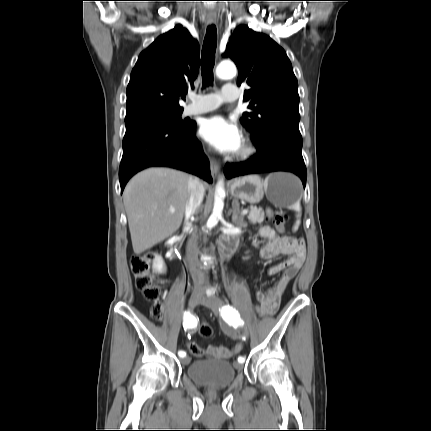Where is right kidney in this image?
I'll return each instance as SVG.
<instances>
[{
  "label": "right kidney",
  "instance_id": "right-kidney-1",
  "mask_svg": "<svg viewBox=\"0 0 431 431\" xmlns=\"http://www.w3.org/2000/svg\"><path fill=\"white\" fill-rule=\"evenodd\" d=\"M154 268L158 272L164 271V262H163L161 257H156L155 263H154Z\"/></svg>",
  "mask_w": 431,
  "mask_h": 431
}]
</instances>
